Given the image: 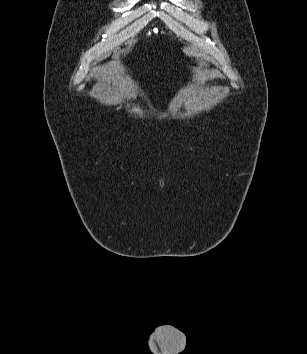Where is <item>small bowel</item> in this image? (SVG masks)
Segmentation results:
<instances>
[{
    "mask_svg": "<svg viewBox=\"0 0 307 354\" xmlns=\"http://www.w3.org/2000/svg\"><path fill=\"white\" fill-rule=\"evenodd\" d=\"M196 64L202 68H209L210 67V64L203 59H197Z\"/></svg>",
    "mask_w": 307,
    "mask_h": 354,
    "instance_id": "c3829d8e",
    "label": "small bowel"
}]
</instances>
